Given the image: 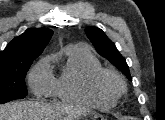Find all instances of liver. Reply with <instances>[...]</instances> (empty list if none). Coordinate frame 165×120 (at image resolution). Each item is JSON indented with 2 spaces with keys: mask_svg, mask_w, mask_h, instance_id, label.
Instances as JSON below:
<instances>
[{
  "mask_svg": "<svg viewBox=\"0 0 165 120\" xmlns=\"http://www.w3.org/2000/svg\"><path fill=\"white\" fill-rule=\"evenodd\" d=\"M65 107H58L34 101H17L0 105V120H51L61 114ZM85 109L68 110V118L72 120Z\"/></svg>",
  "mask_w": 165,
  "mask_h": 120,
  "instance_id": "6515ba94",
  "label": "liver"
}]
</instances>
